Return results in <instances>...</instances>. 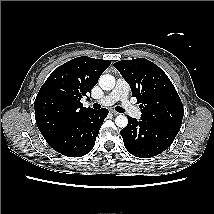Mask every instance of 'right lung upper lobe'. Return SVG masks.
Instances as JSON below:
<instances>
[{
    "label": "right lung upper lobe",
    "mask_w": 214,
    "mask_h": 214,
    "mask_svg": "<svg viewBox=\"0 0 214 214\" xmlns=\"http://www.w3.org/2000/svg\"><path fill=\"white\" fill-rule=\"evenodd\" d=\"M110 64L107 60L83 56L66 62L50 74L34 102L36 123L47 142L93 110L83 107L80 100Z\"/></svg>",
    "instance_id": "1"
}]
</instances>
